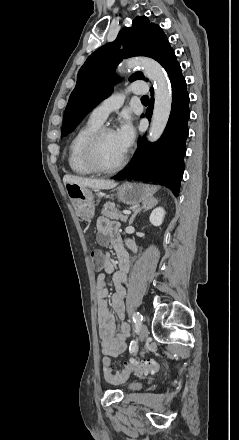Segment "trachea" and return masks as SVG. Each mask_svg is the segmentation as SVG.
Masks as SVG:
<instances>
[{
    "label": "trachea",
    "instance_id": "3493384b",
    "mask_svg": "<svg viewBox=\"0 0 239 440\" xmlns=\"http://www.w3.org/2000/svg\"><path fill=\"white\" fill-rule=\"evenodd\" d=\"M141 99H142L143 102H145V101L148 100V97H147V95H143V97H141Z\"/></svg>",
    "mask_w": 239,
    "mask_h": 440
}]
</instances>
